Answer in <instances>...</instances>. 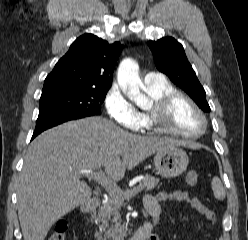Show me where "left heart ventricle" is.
Returning <instances> with one entry per match:
<instances>
[{"label": "left heart ventricle", "instance_id": "1", "mask_svg": "<svg viewBox=\"0 0 248 240\" xmlns=\"http://www.w3.org/2000/svg\"><path fill=\"white\" fill-rule=\"evenodd\" d=\"M169 128L182 133H196L203 128V121L195 109L184 99H177L165 121Z\"/></svg>", "mask_w": 248, "mask_h": 240}]
</instances>
